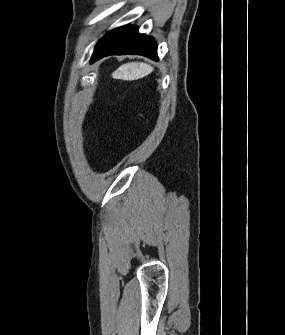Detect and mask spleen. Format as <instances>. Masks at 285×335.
Returning <instances> with one entry per match:
<instances>
[{
	"instance_id": "obj_1",
	"label": "spleen",
	"mask_w": 285,
	"mask_h": 335,
	"mask_svg": "<svg viewBox=\"0 0 285 335\" xmlns=\"http://www.w3.org/2000/svg\"><path fill=\"white\" fill-rule=\"evenodd\" d=\"M128 70L130 78H143L152 72V68L147 64H129Z\"/></svg>"
}]
</instances>
